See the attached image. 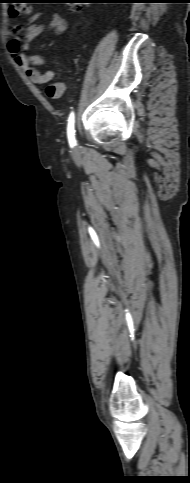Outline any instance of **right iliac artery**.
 Returning a JSON list of instances; mask_svg holds the SVG:
<instances>
[{
    "label": "right iliac artery",
    "mask_w": 190,
    "mask_h": 483,
    "mask_svg": "<svg viewBox=\"0 0 190 483\" xmlns=\"http://www.w3.org/2000/svg\"><path fill=\"white\" fill-rule=\"evenodd\" d=\"M74 126H75L74 113L71 112L68 119V127H67L68 140L71 146H74L76 144Z\"/></svg>",
    "instance_id": "obj_1"
}]
</instances>
